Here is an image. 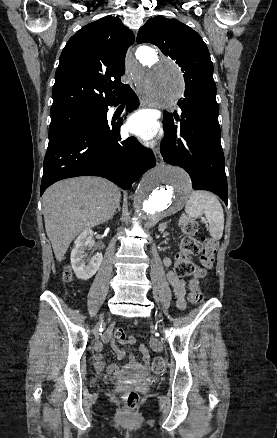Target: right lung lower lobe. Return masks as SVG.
Returning a JSON list of instances; mask_svg holds the SVG:
<instances>
[{"instance_id":"98d812e1","label":"right lung lower lobe","mask_w":277,"mask_h":438,"mask_svg":"<svg viewBox=\"0 0 277 438\" xmlns=\"http://www.w3.org/2000/svg\"><path fill=\"white\" fill-rule=\"evenodd\" d=\"M122 97L127 110L137 107L138 99L127 88L100 108L95 123H86L49 140L44 158L41 192L56 181L76 176H101L124 190L130 189L147 170L155 166L151 150L135 138L120 137V123H108V105H116Z\"/></svg>"}]
</instances>
